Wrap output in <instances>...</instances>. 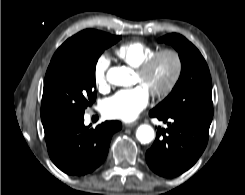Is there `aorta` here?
Returning <instances> with one entry per match:
<instances>
[{
	"mask_svg": "<svg viewBox=\"0 0 245 195\" xmlns=\"http://www.w3.org/2000/svg\"><path fill=\"white\" fill-rule=\"evenodd\" d=\"M107 81L116 86L130 85V72L125 67H112L106 75ZM155 137L154 129L147 124H142L136 131V138L142 144L150 143Z\"/></svg>",
	"mask_w": 245,
	"mask_h": 195,
	"instance_id": "obj_1",
	"label": "aorta"
}]
</instances>
